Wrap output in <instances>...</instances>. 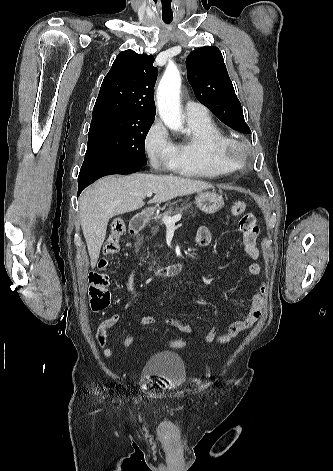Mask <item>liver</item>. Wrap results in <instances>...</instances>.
<instances>
[{
    "label": "liver",
    "mask_w": 333,
    "mask_h": 471,
    "mask_svg": "<svg viewBox=\"0 0 333 471\" xmlns=\"http://www.w3.org/2000/svg\"><path fill=\"white\" fill-rule=\"evenodd\" d=\"M210 188L213 186L203 181L173 175L133 174L100 179L79 198L80 223L91 267L97 264L110 218L143 207L147 192L155 193L149 203H162Z\"/></svg>",
    "instance_id": "1"
}]
</instances>
